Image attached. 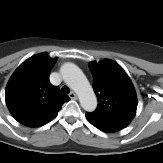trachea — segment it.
Wrapping results in <instances>:
<instances>
[{
    "label": "trachea",
    "mask_w": 163,
    "mask_h": 163,
    "mask_svg": "<svg viewBox=\"0 0 163 163\" xmlns=\"http://www.w3.org/2000/svg\"><path fill=\"white\" fill-rule=\"evenodd\" d=\"M61 91H62V93L69 94L70 89H69L67 86H63V87L61 88Z\"/></svg>",
    "instance_id": "3493384b"
}]
</instances>
